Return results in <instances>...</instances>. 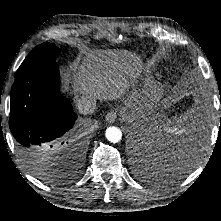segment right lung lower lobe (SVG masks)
I'll return each mask as SVG.
<instances>
[{
    "mask_svg": "<svg viewBox=\"0 0 221 221\" xmlns=\"http://www.w3.org/2000/svg\"><path fill=\"white\" fill-rule=\"evenodd\" d=\"M58 83L59 66L52 62L24 74L12 86L9 127L27 158L62 146L77 119L71 104L55 91ZM75 147L81 150L80 144Z\"/></svg>",
    "mask_w": 221,
    "mask_h": 221,
    "instance_id": "right-lung-lower-lobe-1",
    "label": "right lung lower lobe"
}]
</instances>
